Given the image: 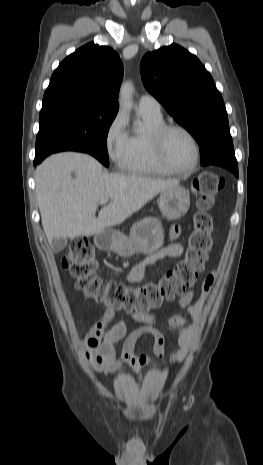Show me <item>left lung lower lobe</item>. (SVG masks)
Here are the masks:
<instances>
[{
	"label": "left lung lower lobe",
	"mask_w": 263,
	"mask_h": 465,
	"mask_svg": "<svg viewBox=\"0 0 263 465\" xmlns=\"http://www.w3.org/2000/svg\"><path fill=\"white\" fill-rule=\"evenodd\" d=\"M210 164L222 166L231 171L236 177H238V165L235 157L221 159H206L202 162L203 166Z\"/></svg>",
	"instance_id": "0a47b994"
}]
</instances>
